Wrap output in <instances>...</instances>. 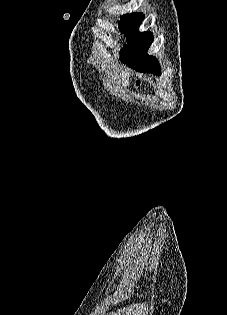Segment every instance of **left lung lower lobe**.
<instances>
[{
	"label": "left lung lower lobe",
	"mask_w": 227,
	"mask_h": 315,
	"mask_svg": "<svg viewBox=\"0 0 227 315\" xmlns=\"http://www.w3.org/2000/svg\"><path fill=\"white\" fill-rule=\"evenodd\" d=\"M152 41H144L137 48L130 52V60L126 63L131 68L140 72H152L159 75L161 73L157 59L147 55V50Z\"/></svg>",
	"instance_id": "0a47b994"
}]
</instances>
